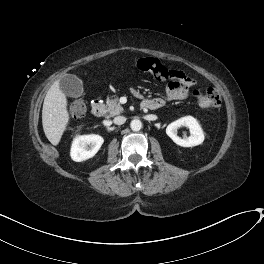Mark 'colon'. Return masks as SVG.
Wrapping results in <instances>:
<instances>
[{
  "label": "colon",
  "instance_id": "5ec220e1",
  "mask_svg": "<svg viewBox=\"0 0 264 264\" xmlns=\"http://www.w3.org/2000/svg\"><path fill=\"white\" fill-rule=\"evenodd\" d=\"M134 66L145 73H149L159 80H166L173 74L159 60L155 58H140L134 61ZM191 95L198 103L205 107L219 108L221 106V95L219 90L214 86H207L204 90L193 88ZM85 110L82 101L74 102L70 106V114L73 118H81Z\"/></svg>",
  "mask_w": 264,
  "mask_h": 264
}]
</instances>
